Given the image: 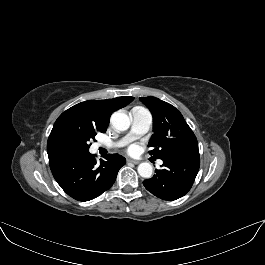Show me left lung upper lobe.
Here are the masks:
<instances>
[{
  "label": "left lung upper lobe",
  "mask_w": 265,
  "mask_h": 265,
  "mask_svg": "<svg viewBox=\"0 0 265 265\" xmlns=\"http://www.w3.org/2000/svg\"><path fill=\"white\" fill-rule=\"evenodd\" d=\"M153 116V132L148 147L150 155L161 159L169 154L199 152L198 142L182 114L171 104L156 97H142Z\"/></svg>",
  "instance_id": "obj_1"
}]
</instances>
